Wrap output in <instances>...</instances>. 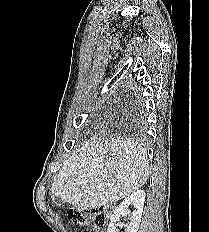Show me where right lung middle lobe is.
Returning <instances> with one entry per match:
<instances>
[{
  "label": "right lung middle lobe",
  "mask_w": 209,
  "mask_h": 232,
  "mask_svg": "<svg viewBox=\"0 0 209 232\" xmlns=\"http://www.w3.org/2000/svg\"><path fill=\"white\" fill-rule=\"evenodd\" d=\"M137 123L140 125L142 123V118L138 117Z\"/></svg>",
  "instance_id": "1"
}]
</instances>
